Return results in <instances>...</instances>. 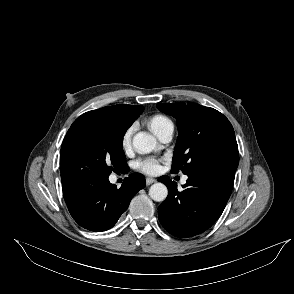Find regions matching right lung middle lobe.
I'll return each instance as SVG.
<instances>
[{
    "label": "right lung middle lobe",
    "instance_id": "obj_1",
    "mask_svg": "<svg viewBox=\"0 0 294 294\" xmlns=\"http://www.w3.org/2000/svg\"><path fill=\"white\" fill-rule=\"evenodd\" d=\"M127 129L100 119L74 121L61 146L62 184L109 177L125 168L122 143Z\"/></svg>",
    "mask_w": 294,
    "mask_h": 294
}]
</instances>
